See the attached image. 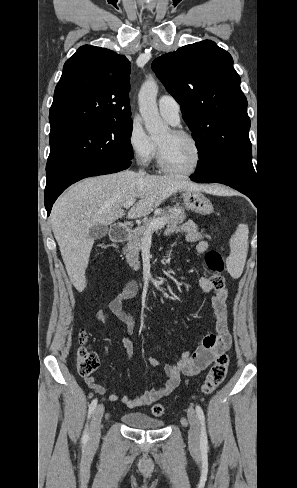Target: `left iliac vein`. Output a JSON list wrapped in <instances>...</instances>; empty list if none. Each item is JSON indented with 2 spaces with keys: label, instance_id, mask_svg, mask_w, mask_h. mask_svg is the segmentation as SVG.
<instances>
[{
  "label": "left iliac vein",
  "instance_id": "4c4485c4",
  "mask_svg": "<svg viewBox=\"0 0 297 488\" xmlns=\"http://www.w3.org/2000/svg\"><path fill=\"white\" fill-rule=\"evenodd\" d=\"M187 417H188V421H189V424H190V429L188 431V443H189L190 449L194 453H198L199 452V448H200V441H199V437H200V425H199V419H198V416H197L195 410L193 408H191V407H188V409H187Z\"/></svg>",
  "mask_w": 297,
  "mask_h": 488
}]
</instances>
